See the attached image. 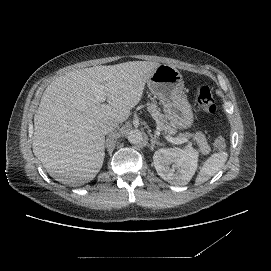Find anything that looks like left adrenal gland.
I'll list each match as a JSON object with an SVG mask.
<instances>
[{
    "label": "left adrenal gland",
    "mask_w": 271,
    "mask_h": 271,
    "mask_svg": "<svg viewBox=\"0 0 271 271\" xmlns=\"http://www.w3.org/2000/svg\"><path fill=\"white\" fill-rule=\"evenodd\" d=\"M150 137H151V150L153 151L154 150V146L155 145H159V146H162L163 144L160 143L155 137H153L152 134H150Z\"/></svg>",
    "instance_id": "1"
}]
</instances>
